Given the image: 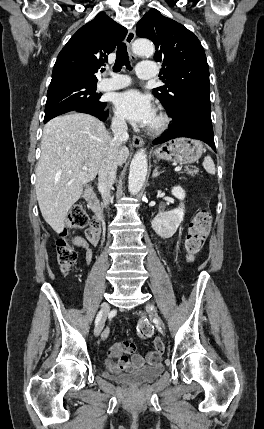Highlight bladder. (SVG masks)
<instances>
[{
  "label": "bladder",
  "mask_w": 264,
  "mask_h": 429,
  "mask_svg": "<svg viewBox=\"0 0 264 429\" xmlns=\"http://www.w3.org/2000/svg\"><path fill=\"white\" fill-rule=\"evenodd\" d=\"M164 372V365L159 360L156 364L146 366L136 371H130L126 373H117L105 370L102 375L110 380L119 382L121 384L138 387L144 384L155 381Z\"/></svg>",
  "instance_id": "obj_1"
}]
</instances>
